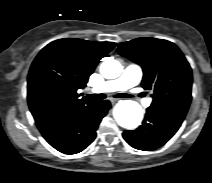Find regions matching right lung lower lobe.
<instances>
[{
	"instance_id": "obj_1",
	"label": "right lung lower lobe",
	"mask_w": 212,
	"mask_h": 183,
	"mask_svg": "<svg viewBox=\"0 0 212 183\" xmlns=\"http://www.w3.org/2000/svg\"><path fill=\"white\" fill-rule=\"evenodd\" d=\"M110 106L108 100L95 102L77 111L57 113L36 124L51 146L65 154H76L93 142Z\"/></svg>"
}]
</instances>
